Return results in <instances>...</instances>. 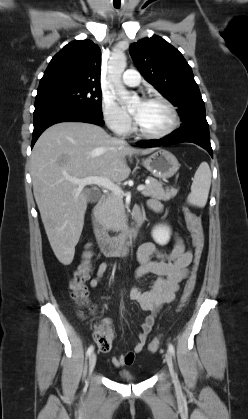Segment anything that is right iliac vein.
Segmentation results:
<instances>
[{
	"label": "right iliac vein",
	"mask_w": 248,
	"mask_h": 419,
	"mask_svg": "<svg viewBox=\"0 0 248 419\" xmlns=\"http://www.w3.org/2000/svg\"><path fill=\"white\" fill-rule=\"evenodd\" d=\"M96 365V354L92 353L89 357V373H91Z\"/></svg>",
	"instance_id": "1"
}]
</instances>
